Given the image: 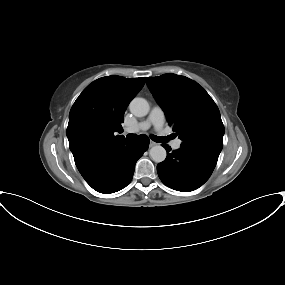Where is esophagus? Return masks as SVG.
<instances>
[{"mask_svg":"<svg viewBox=\"0 0 285 285\" xmlns=\"http://www.w3.org/2000/svg\"><path fill=\"white\" fill-rule=\"evenodd\" d=\"M157 145V143L156 142H154V141H150V144H149V146L150 147H154V146H156Z\"/></svg>","mask_w":285,"mask_h":285,"instance_id":"obj_1","label":"esophagus"}]
</instances>
